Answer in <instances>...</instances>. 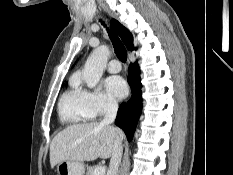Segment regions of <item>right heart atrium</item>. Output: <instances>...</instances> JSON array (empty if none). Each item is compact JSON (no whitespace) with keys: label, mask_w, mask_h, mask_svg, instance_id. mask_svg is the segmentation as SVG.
Returning a JSON list of instances; mask_svg holds the SVG:
<instances>
[{"label":"right heart atrium","mask_w":233,"mask_h":175,"mask_svg":"<svg viewBox=\"0 0 233 175\" xmlns=\"http://www.w3.org/2000/svg\"><path fill=\"white\" fill-rule=\"evenodd\" d=\"M86 97L90 103L94 116H102L117 109L116 99L100 88L85 90Z\"/></svg>","instance_id":"obj_1"}]
</instances>
